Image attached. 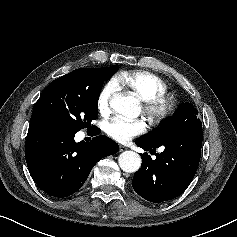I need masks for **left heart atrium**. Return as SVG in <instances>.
Instances as JSON below:
<instances>
[{
    "label": "left heart atrium",
    "mask_w": 237,
    "mask_h": 237,
    "mask_svg": "<svg viewBox=\"0 0 237 237\" xmlns=\"http://www.w3.org/2000/svg\"><path fill=\"white\" fill-rule=\"evenodd\" d=\"M145 129V124L141 120H126L120 117H115L106 124V133L114 140L122 143L142 134Z\"/></svg>",
    "instance_id": "obj_1"
}]
</instances>
